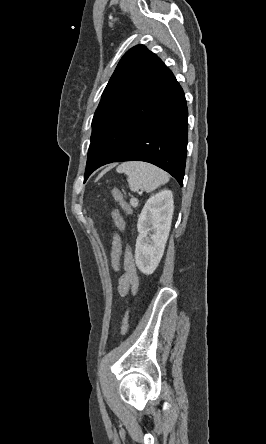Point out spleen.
Wrapping results in <instances>:
<instances>
[{"label":"spleen","mask_w":266,"mask_h":444,"mask_svg":"<svg viewBox=\"0 0 266 444\" xmlns=\"http://www.w3.org/2000/svg\"><path fill=\"white\" fill-rule=\"evenodd\" d=\"M118 173H125L131 191L152 192L169 181V176L160 168L145 162H125L117 168Z\"/></svg>","instance_id":"1"}]
</instances>
